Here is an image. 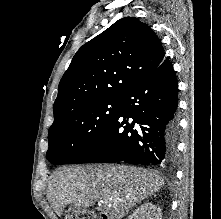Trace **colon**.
Returning a JSON list of instances; mask_svg holds the SVG:
<instances>
[{
	"label": "colon",
	"instance_id": "5ec220e1",
	"mask_svg": "<svg viewBox=\"0 0 221 219\" xmlns=\"http://www.w3.org/2000/svg\"><path fill=\"white\" fill-rule=\"evenodd\" d=\"M66 219H97V216L92 211L73 208L68 210Z\"/></svg>",
	"mask_w": 221,
	"mask_h": 219
}]
</instances>
